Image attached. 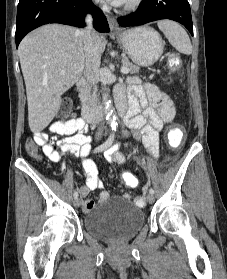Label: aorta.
<instances>
[{
    "mask_svg": "<svg viewBox=\"0 0 227 279\" xmlns=\"http://www.w3.org/2000/svg\"><path fill=\"white\" fill-rule=\"evenodd\" d=\"M102 99L104 104V113H105L106 121L110 125V127L114 129L117 127L118 124H117L116 116L114 114L112 102L107 93H103Z\"/></svg>",
    "mask_w": 227,
    "mask_h": 279,
    "instance_id": "762f6f07",
    "label": "aorta"
}]
</instances>
